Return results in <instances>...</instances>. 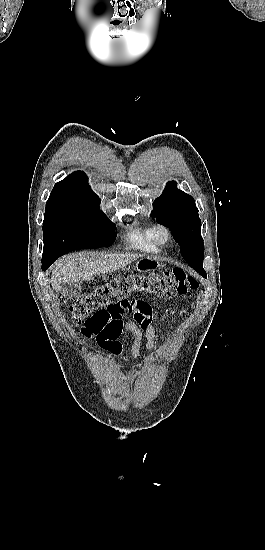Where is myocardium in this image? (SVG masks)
<instances>
[{
  "instance_id": "f54148a6",
  "label": "myocardium",
  "mask_w": 265,
  "mask_h": 550,
  "mask_svg": "<svg viewBox=\"0 0 265 550\" xmlns=\"http://www.w3.org/2000/svg\"><path fill=\"white\" fill-rule=\"evenodd\" d=\"M153 237L157 245L166 246L171 241V231L163 224H157L153 226Z\"/></svg>"
}]
</instances>
